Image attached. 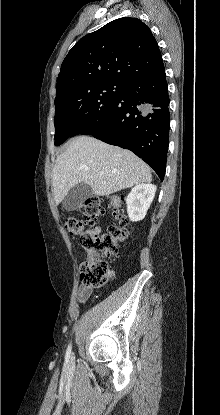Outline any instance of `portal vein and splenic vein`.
<instances>
[{"label": "portal vein and splenic vein", "instance_id": "obj_1", "mask_svg": "<svg viewBox=\"0 0 220 415\" xmlns=\"http://www.w3.org/2000/svg\"><path fill=\"white\" fill-rule=\"evenodd\" d=\"M103 174H104L103 172H100V173H99V175H103Z\"/></svg>", "mask_w": 220, "mask_h": 415}]
</instances>
